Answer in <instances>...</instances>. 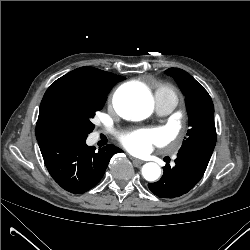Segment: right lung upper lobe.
I'll return each instance as SVG.
<instances>
[{"mask_svg":"<svg viewBox=\"0 0 250 250\" xmlns=\"http://www.w3.org/2000/svg\"><path fill=\"white\" fill-rule=\"evenodd\" d=\"M124 77L105 72L93 67L77 68L57 79L46 91L40 104L36 125L37 140L64 134L58 114V100L63 92L69 89L97 91L115 85Z\"/></svg>","mask_w":250,"mask_h":250,"instance_id":"cb5924a9","label":"right lung upper lobe"}]
</instances>
